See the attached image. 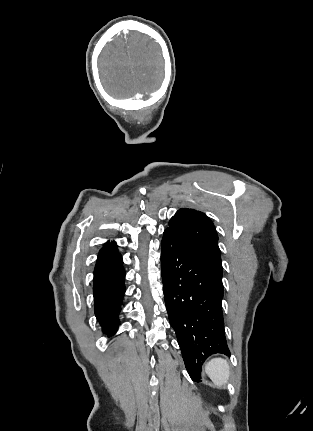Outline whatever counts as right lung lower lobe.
<instances>
[{
  "label": "right lung lower lobe",
  "instance_id": "98d812e1",
  "mask_svg": "<svg viewBox=\"0 0 313 431\" xmlns=\"http://www.w3.org/2000/svg\"><path fill=\"white\" fill-rule=\"evenodd\" d=\"M115 241L104 244L94 269L93 295L95 316L108 337L115 335L125 293V271Z\"/></svg>",
  "mask_w": 313,
  "mask_h": 431
}]
</instances>
